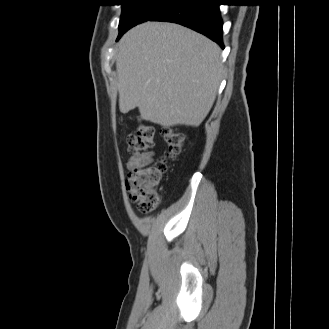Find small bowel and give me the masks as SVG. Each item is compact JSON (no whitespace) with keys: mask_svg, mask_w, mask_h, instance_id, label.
<instances>
[{"mask_svg":"<svg viewBox=\"0 0 329 329\" xmlns=\"http://www.w3.org/2000/svg\"><path fill=\"white\" fill-rule=\"evenodd\" d=\"M152 156V152L135 153L130 157L128 161V168L134 169L140 165L149 164L152 161Z\"/></svg>","mask_w":329,"mask_h":329,"instance_id":"small-bowel-1","label":"small bowel"}]
</instances>
